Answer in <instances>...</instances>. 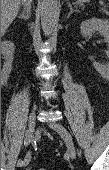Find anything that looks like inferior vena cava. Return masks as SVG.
I'll use <instances>...</instances> for the list:
<instances>
[{
	"label": "inferior vena cava",
	"instance_id": "inferior-vena-cava-1",
	"mask_svg": "<svg viewBox=\"0 0 109 170\" xmlns=\"http://www.w3.org/2000/svg\"><path fill=\"white\" fill-rule=\"evenodd\" d=\"M31 2L32 0H22V5L26 6V8H29L30 10Z\"/></svg>",
	"mask_w": 109,
	"mask_h": 170
}]
</instances>
